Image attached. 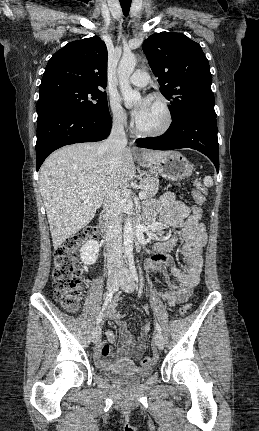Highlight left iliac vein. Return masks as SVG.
<instances>
[{"label":"left iliac vein","instance_id":"1","mask_svg":"<svg viewBox=\"0 0 259 431\" xmlns=\"http://www.w3.org/2000/svg\"><path fill=\"white\" fill-rule=\"evenodd\" d=\"M120 286L122 289L131 293L135 289L134 279L129 271V269L124 265L120 270ZM154 343L158 349L162 350L165 346L164 338L161 333L157 332L154 336Z\"/></svg>","mask_w":259,"mask_h":431}]
</instances>
